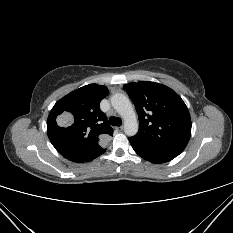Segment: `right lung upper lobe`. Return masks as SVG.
<instances>
[{"label": "right lung upper lobe", "mask_w": 233, "mask_h": 233, "mask_svg": "<svg viewBox=\"0 0 233 233\" xmlns=\"http://www.w3.org/2000/svg\"><path fill=\"white\" fill-rule=\"evenodd\" d=\"M105 86L89 84L60 99L47 119V134L55 149L74 162H88L106 151L113 130L99 104Z\"/></svg>", "instance_id": "right-lung-upper-lobe-1"}]
</instances>
